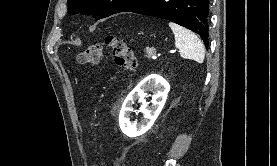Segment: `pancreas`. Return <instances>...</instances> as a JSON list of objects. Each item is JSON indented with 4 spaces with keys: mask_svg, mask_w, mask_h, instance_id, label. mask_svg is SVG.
Returning <instances> with one entry per match:
<instances>
[{
    "mask_svg": "<svg viewBox=\"0 0 277 166\" xmlns=\"http://www.w3.org/2000/svg\"><path fill=\"white\" fill-rule=\"evenodd\" d=\"M154 52L155 50L153 48H146L147 57H150V54H153Z\"/></svg>",
    "mask_w": 277,
    "mask_h": 166,
    "instance_id": "cf45deb5",
    "label": "pancreas"
}]
</instances>
